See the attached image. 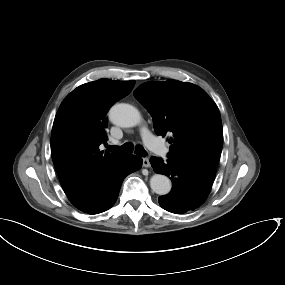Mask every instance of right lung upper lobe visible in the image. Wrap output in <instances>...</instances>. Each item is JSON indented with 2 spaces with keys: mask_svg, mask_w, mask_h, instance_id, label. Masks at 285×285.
<instances>
[{
  "mask_svg": "<svg viewBox=\"0 0 285 285\" xmlns=\"http://www.w3.org/2000/svg\"><path fill=\"white\" fill-rule=\"evenodd\" d=\"M135 81L99 79L80 85L61 103L51 133V155L62 188L74 205L128 156L100 151L108 140L110 107L127 96Z\"/></svg>",
  "mask_w": 285,
  "mask_h": 285,
  "instance_id": "cb5924a9",
  "label": "right lung upper lobe"
}]
</instances>
